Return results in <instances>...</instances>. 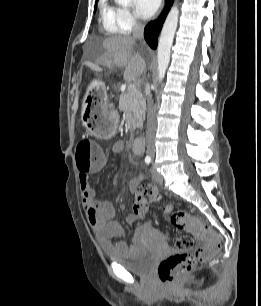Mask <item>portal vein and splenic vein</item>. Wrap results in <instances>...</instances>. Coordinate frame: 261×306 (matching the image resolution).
Listing matches in <instances>:
<instances>
[{
  "label": "portal vein and splenic vein",
  "mask_w": 261,
  "mask_h": 306,
  "mask_svg": "<svg viewBox=\"0 0 261 306\" xmlns=\"http://www.w3.org/2000/svg\"><path fill=\"white\" fill-rule=\"evenodd\" d=\"M128 89L131 90L134 93L137 92V88H136V86L134 84H129L128 85Z\"/></svg>",
  "instance_id": "obj_1"
}]
</instances>
